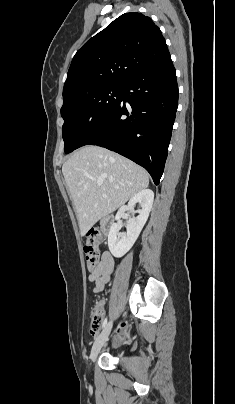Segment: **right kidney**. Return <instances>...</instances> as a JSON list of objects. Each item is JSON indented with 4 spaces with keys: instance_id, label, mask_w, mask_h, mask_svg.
I'll return each mask as SVG.
<instances>
[{
    "instance_id": "obj_1",
    "label": "right kidney",
    "mask_w": 235,
    "mask_h": 404,
    "mask_svg": "<svg viewBox=\"0 0 235 404\" xmlns=\"http://www.w3.org/2000/svg\"><path fill=\"white\" fill-rule=\"evenodd\" d=\"M154 200V193L150 189H143L135 194L128 202V205L122 206L117 215V223H114L109 231L108 246L112 255L116 258L124 256L136 242L141 230L143 229L149 213L151 211ZM136 203L141 205V210L138 211L137 217L129 218L126 223V233H120L122 227L120 218L128 213H134Z\"/></svg>"
}]
</instances>
